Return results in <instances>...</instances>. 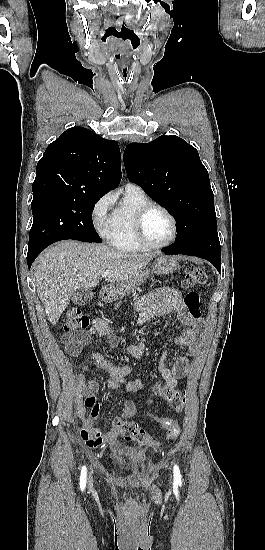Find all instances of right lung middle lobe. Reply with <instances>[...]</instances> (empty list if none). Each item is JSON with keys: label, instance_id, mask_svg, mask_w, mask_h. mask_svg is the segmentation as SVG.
<instances>
[{"label": "right lung middle lobe", "instance_id": "right-lung-middle-lobe-1", "mask_svg": "<svg viewBox=\"0 0 265 550\" xmlns=\"http://www.w3.org/2000/svg\"><path fill=\"white\" fill-rule=\"evenodd\" d=\"M101 197L53 193L33 195V224L29 234L28 253L43 250L64 239L101 242L92 221V211Z\"/></svg>", "mask_w": 265, "mask_h": 550}]
</instances>
